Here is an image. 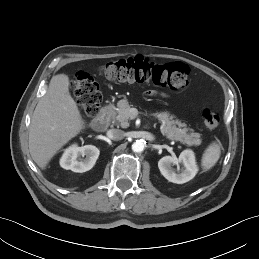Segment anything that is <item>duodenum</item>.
Wrapping results in <instances>:
<instances>
[{
    "instance_id": "duodenum-1",
    "label": "duodenum",
    "mask_w": 259,
    "mask_h": 259,
    "mask_svg": "<svg viewBox=\"0 0 259 259\" xmlns=\"http://www.w3.org/2000/svg\"><path fill=\"white\" fill-rule=\"evenodd\" d=\"M111 116V108L106 106L94 120V128L103 131L108 127Z\"/></svg>"
}]
</instances>
